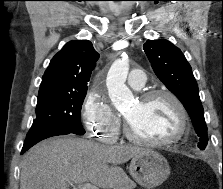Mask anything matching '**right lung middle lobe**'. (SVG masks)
<instances>
[{
	"label": "right lung middle lobe",
	"instance_id": "obj_1",
	"mask_svg": "<svg viewBox=\"0 0 223 189\" xmlns=\"http://www.w3.org/2000/svg\"><path fill=\"white\" fill-rule=\"evenodd\" d=\"M87 89L38 93L36 118L32 125L60 126L82 135L81 107Z\"/></svg>",
	"mask_w": 223,
	"mask_h": 189
}]
</instances>
